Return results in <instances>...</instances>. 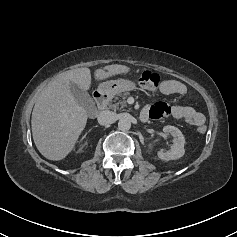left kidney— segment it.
<instances>
[{
  "mask_svg": "<svg viewBox=\"0 0 237 237\" xmlns=\"http://www.w3.org/2000/svg\"><path fill=\"white\" fill-rule=\"evenodd\" d=\"M163 132L171 134V136L173 137V141H172L173 144L170 150L166 152L159 151L158 157L161 160H166V161L177 160L181 158L185 153V149H184L185 138L182 132L177 127L170 126V125L164 126Z\"/></svg>",
  "mask_w": 237,
  "mask_h": 237,
  "instance_id": "5707ae66",
  "label": "left kidney"
}]
</instances>
